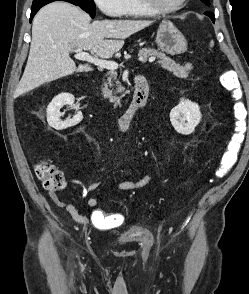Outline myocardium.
I'll list each match as a JSON object with an SVG mask.
<instances>
[{
	"label": "myocardium",
	"mask_w": 249,
	"mask_h": 294,
	"mask_svg": "<svg viewBox=\"0 0 249 294\" xmlns=\"http://www.w3.org/2000/svg\"><path fill=\"white\" fill-rule=\"evenodd\" d=\"M142 5L151 13V15H166L174 13L182 9L189 0H181L179 4L174 7L160 8L156 5L154 0H140Z\"/></svg>",
	"instance_id": "myocardium-1"
}]
</instances>
